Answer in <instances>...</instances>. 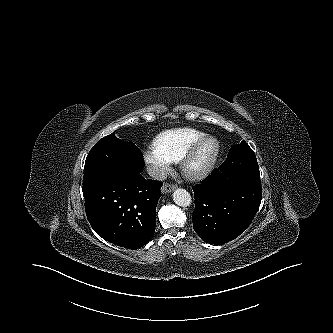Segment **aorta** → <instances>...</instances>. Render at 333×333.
<instances>
[{
	"label": "aorta",
	"instance_id": "aorta-1",
	"mask_svg": "<svg viewBox=\"0 0 333 333\" xmlns=\"http://www.w3.org/2000/svg\"><path fill=\"white\" fill-rule=\"evenodd\" d=\"M173 201L181 207H187L191 204V195L185 189L178 188L173 192Z\"/></svg>",
	"mask_w": 333,
	"mask_h": 333
}]
</instances>
